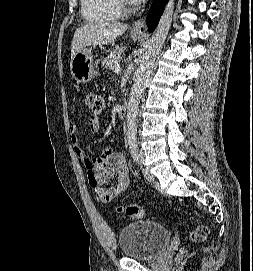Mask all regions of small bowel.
Wrapping results in <instances>:
<instances>
[{"label":"small bowel","mask_w":253,"mask_h":271,"mask_svg":"<svg viewBox=\"0 0 253 271\" xmlns=\"http://www.w3.org/2000/svg\"><path fill=\"white\" fill-rule=\"evenodd\" d=\"M74 153L84 164L89 185L101 202H109L127 190L130 184L125 157L110 148L104 149L101 156L90 159L79 145V129L74 123L68 127ZM100 131V120L97 116L88 119V133L94 135ZM114 181L111 186H107Z\"/></svg>","instance_id":"c3829d8e"}]
</instances>
